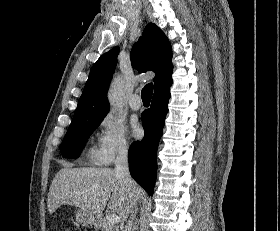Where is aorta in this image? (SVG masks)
Listing matches in <instances>:
<instances>
[{"mask_svg":"<svg viewBox=\"0 0 280 231\" xmlns=\"http://www.w3.org/2000/svg\"><path fill=\"white\" fill-rule=\"evenodd\" d=\"M123 82L119 76L113 78L108 92V100L113 114L121 112L124 106V90Z\"/></svg>","mask_w":280,"mask_h":231,"instance_id":"obj_1","label":"aorta"}]
</instances>
